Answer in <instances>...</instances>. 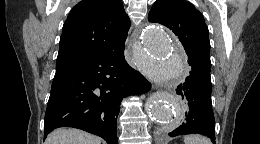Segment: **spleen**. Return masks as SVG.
<instances>
[{"label": "spleen", "instance_id": "3e777b00", "mask_svg": "<svg viewBox=\"0 0 260 144\" xmlns=\"http://www.w3.org/2000/svg\"><path fill=\"white\" fill-rule=\"evenodd\" d=\"M185 144H211V141L201 135H188L184 137Z\"/></svg>", "mask_w": 260, "mask_h": 144}]
</instances>
